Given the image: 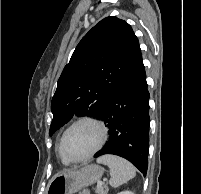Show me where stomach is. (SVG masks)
<instances>
[{"mask_svg":"<svg viewBox=\"0 0 201 194\" xmlns=\"http://www.w3.org/2000/svg\"><path fill=\"white\" fill-rule=\"evenodd\" d=\"M103 169L87 165L79 170L57 174L48 185L47 194H74L101 179Z\"/></svg>","mask_w":201,"mask_h":194,"instance_id":"0dacf381","label":"stomach"}]
</instances>
